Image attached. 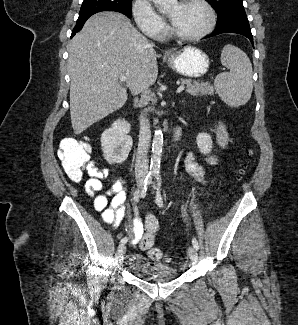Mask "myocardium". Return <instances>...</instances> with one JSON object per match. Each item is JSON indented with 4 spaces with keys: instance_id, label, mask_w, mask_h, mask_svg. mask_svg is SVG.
<instances>
[{
    "instance_id": "1",
    "label": "myocardium",
    "mask_w": 298,
    "mask_h": 325,
    "mask_svg": "<svg viewBox=\"0 0 298 325\" xmlns=\"http://www.w3.org/2000/svg\"><path fill=\"white\" fill-rule=\"evenodd\" d=\"M191 1H193L195 4H197L205 13L206 23H205L204 27L195 34L183 35V34L176 32L172 28V26L169 22L168 29H167L168 37H170L172 39L179 40V41L192 42V41H198V40L202 39L211 31V29L213 27L214 20H213V14H212L210 7L202 0H191Z\"/></svg>"
}]
</instances>
